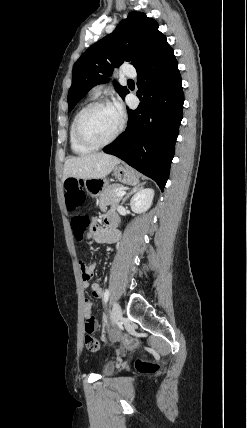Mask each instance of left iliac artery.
Instances as JSON below:
<instances>
[{
	"mask_svg": "<svg viewBox=\"0 0 247 428\" xmlns=\"http://www.w3.org/2000/svg\"><path fill=\"white\" fill-rule=\"evenodd\" d=\"M109 296H110V292L108 289H106L104 292V298H103L105 304L107 303Z\"/></svg>",
	"mask_w": 247,
	"mask_h": 428,
	"instance_id": "obj_1",
	"label": "left iliac artery"
}]
</instances>
